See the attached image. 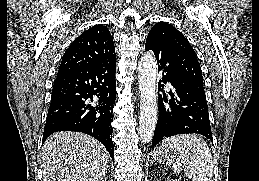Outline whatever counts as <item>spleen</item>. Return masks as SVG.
Masks as SVG:
<instances>
[{
	"label": "spleen",
	"instance_id": "obj_1",
	"mask_svg": "<svg viewBox=\"0 0 259 181\" xmlns=\"http://www.w3.org/2000/svg\"><path fill=\"white\" fill-rule=\"evenodd\" d=\"M162 148H171L178 155V161L168 165L174 172L182 170L191 181H213V161L207 143L196 134H180L166 138Z\"/></svg>",
	"mask_w": 259,
	"mask_h": 181
}]
</instances>
